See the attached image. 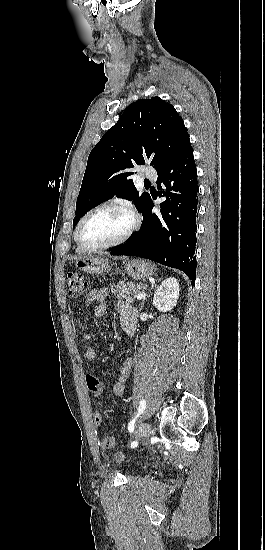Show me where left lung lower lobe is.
I'll use <instances>...</instances> for the list:
<instances>
[{
  "mask_svg": "<svg viewBox=\"0 0 265 550\" xmlns=\"http://www.w3.org/2000/svg\"><path fill=\"white\" fill-rule=\"evenodd\" d=\"M157 173L158 188L162 189V183L166 189L160 192L167 198L161 204L162 217L152 213L151 200L140 231L109 251L111 255L139 256L180 269L194 285L198 184L190 141Z\"/></svg>",
  "mask_w": 265,
  "mask_h": 550,
  "instance_id": "obj_1",
  "label": "left lung lower lobe"
}]
</instances>
